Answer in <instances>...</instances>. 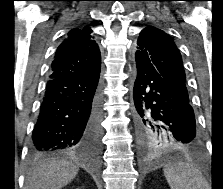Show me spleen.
I'll list each match as a JSON object with an SVG mask.
<instances>
[{
    "instance_id": "3e777b00",
    "label": "spleen",
    "mask_w": 223,
    "mask_h": 189,
    "mask_svg": "<svg viewBox=\"0 0 223 189\" xmlns=\"http://www.w3.org/2000/svg\"><path fill=\"white\" fill-rule=\"evenodd\" d=\"M164 175L171 189H206L202 173L184 162L166 165Z\"/></svg>"
}]
</instances>
